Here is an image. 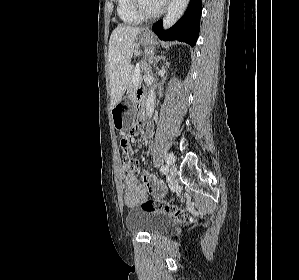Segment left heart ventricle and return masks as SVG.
Wrapping results in <instances>:
<instances>
[{
    "mask_svg": "<svg viewBox=\"0 0 299 280\" xmlns=\"http://www.w3.org/2000/svg\"><path fill=\"white\" fill-rule=\"evenodd\" d=\"M142 3L145 10L148 12H154L161 7L163 2L161 0H142Z\"/></svg>",
    "mask_w": 299,
    "mask_h": 280,
    "instance_id": "left-heart-ventricle-1",
    "label": "left heart ventricle"
}]
</instances>
